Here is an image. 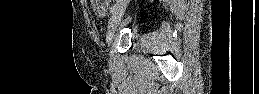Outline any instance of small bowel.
<instances>
[{
  "label": "small bowel",
  "mask_w": 259,
  "mask_h": 94,
  "mask_svg": "<svg viewBox=\"0 0 259 94\" xmlns=\"http://www.w3.org/2000/svg\"><path fill=\"white\" fill-rule=\"evenodd\" d=\"M104 6H105V3L104 4H102V5H99L98 7H97V10H100V9H104Z\"/></svg>",
  "instance_id": "obj_1"
}]
</instances>
